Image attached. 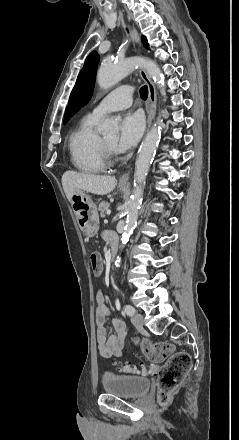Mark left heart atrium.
Masks as SVG:
<instances>
[{"label": "left heart atrium", "instance_id": "left-heart-atrium-1", "mask_svg": "<svg viewBox=\"0 0 239 440\" xmlns=\"http://www.w3.org/2000/svg\"><path fill=\"white\" fill-rule=\"evenodd\" d=\"M144 130V119L139 112L123 115L119 125V133L113 144L116 151L122 152L133 147L140 139Z\"/></svg>", "mask_w": 239, "mask_h": 440}]
</instances>
